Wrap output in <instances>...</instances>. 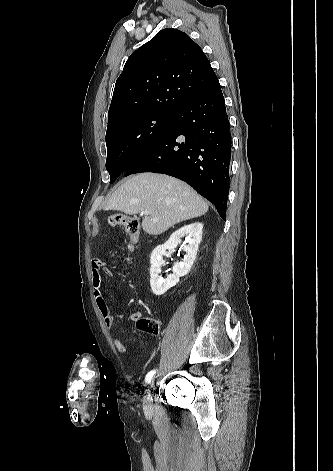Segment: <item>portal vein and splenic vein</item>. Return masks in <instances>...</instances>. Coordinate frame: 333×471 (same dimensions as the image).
<instances>
[{
	"label": "portal vein and splenic vein",
	"mask_w": 333,
	"mask_h": 471,
	"mask_svg": "<svg viewBox=\"0 0 333 471\" xmlns=\"http://www.w3.org/2000/svg\"><path fill=\"white\" fill-rule=\"evenodd\" d=\"M143 213H144L145 215H147V214H149V211H148V210H144Z\"/></svg>",
	"instance_id": "obj_1"
}]
</instances>
